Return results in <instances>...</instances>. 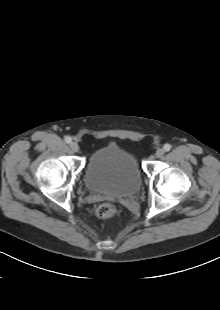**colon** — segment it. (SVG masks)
<instances>
[{
  "label": "colon",
  "instance_id": "5ec220e1",
  "mask_svg": "<svg viewBox=\"0 0 220 310\" xmlns=\"http://www.w3.org/2000/svg\"><path fill=\"white\" fill-rule=\"evenodd\" d=\"M117 213V207L111 203H104L97 207L96 215L101 219L113 217Z\"/></svg>",
  "mask_w": 220,
  "mask_h": 310
}]
</instances>
